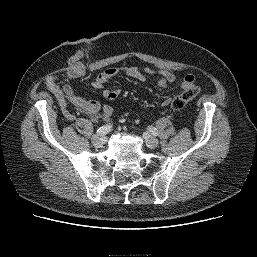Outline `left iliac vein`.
<instances>
[{
    "label": "left iliac vein",
    "mask_w": 257,
    "mask_h": 257,
    "mask_svg": "<svg viewBox=\"0 0 257 257\" xmlns=\"http://www.w3.org/2000/svg\"><path fill=\"white\" fill-rule=\"evenodd\" d=\"M143 137H144V139L146 141V144L149 148L154 149L158 146V140L154 136H152L151 134L144 133Z\"/></svg>",
    "instance_id": "1"
}]
</instances>
